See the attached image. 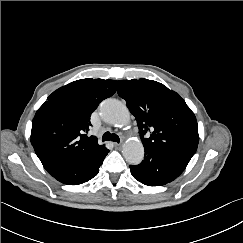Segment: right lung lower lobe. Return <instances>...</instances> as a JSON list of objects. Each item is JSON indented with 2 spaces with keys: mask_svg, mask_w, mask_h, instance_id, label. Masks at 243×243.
I'll use <instances>...</instances> for the list:
<instances>
[{
  "mask_svg": "<svg viewBox=\"0 0 243 243\" xmlns=\"http://www.w3.org/2000/svg\"><path fill=\"white\" fill-rule=\"evenodd\" d=\"M108 152L103 148L92 155L68 158L45 169L64 184L79 185L97 175Z\"/></svg>",
  "mask_w": 243,
  "mask_h": 243,
  "instance_id": "98d812e1",
  "label": "right lung lower lobe"
}]
</instances>
